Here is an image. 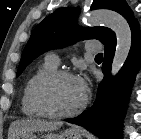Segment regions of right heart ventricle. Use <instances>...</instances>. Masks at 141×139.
I'll return each instance as SVG.
<instances>
[{
	"instance_id": "e07e8e85",
	"label": "right heart ventricle",
	"mask_w": 141,
	"mask_h": 139,
	"mask_svg": "<svg viewBox=\"0 0 141 139\" xmlns=\"http://www.w3.org/2000/svg\"><path fill=\"white\" fill-rule=\"evenodd\" d=\"M57 70L56 65L49 60L41 63L34 72L26 80L22 95H21V109L25 116L30 118H44L46 115L39 108L35 99V90L38 83L49 73Z\"/></svg>"
}]
</instances>
